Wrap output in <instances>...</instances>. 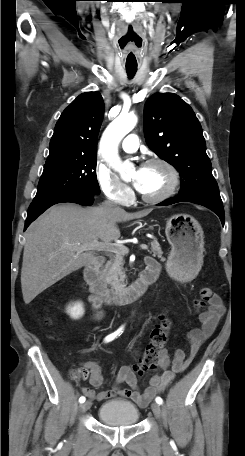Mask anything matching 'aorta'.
<instances>
[{
    "label": "aorta",
    "instance_id": "762f6f07",
    "mask_svg": "<svg viewBox=\"0 0 245 456\" xmlns=\"http://www.w3.org/2000/svg\"><path fill=\"white\" fill-rule=\"evenodd\" d=\"M137 117L133 114H122L118 116L104 131L100 150L108 165L125 176L131 167L129 162H122L118 155V145L125 135H127L136 125Z\"/></svg>",
    "mask_w": 245,
    "mask_h": 456
}]
</instances>
